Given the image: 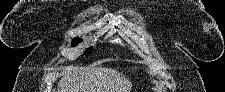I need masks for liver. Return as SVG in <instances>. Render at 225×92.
Listing matches in <instances>:
<instances>
[{
	"mask_svg": "<svg viewBox=\"0 0 225 92\" xmlns=\"http://www.w3.org/2000/svg\"><path fill=\"white\" fill-rule=\"evenodd\" d=\"M132 83L114 69L65 67L59 92H130Z\"/></svg>",
	"mask_w": 225,
	"mask_h": 92,
	"instance_id": "liver-1",
	"label": "liver"
}]
</instances>
